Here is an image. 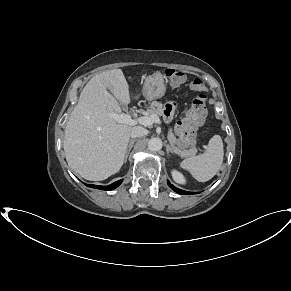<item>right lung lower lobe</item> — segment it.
<instances>
[{
	"label": "right lung lower lobe",
	"mask_w": 291,
	"mask_h": 291,
	"mask_svg": "<svg viewBox=\"0 0 291 291\" xmlns=\"http://www.w3.org/2000/svg\"><path fill=\"white\" fill-rule=\"evenodd\" d=\"M123 180H118L114 183H112L111 185H108V186H99V185H88V184H85L86 186L88 187H92V188H96V189H100V190H113L115 188H117L121 183H122Z\"/></svg>",
	"instance_id": "right-lung-lower-lobe-1"
}]
</instances>
